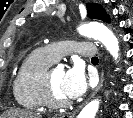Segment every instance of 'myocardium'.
I'll return each mask as SVG.
<instances>
[{"mask_svg": "<svg viewBox=\"0 0 133 118\" xmlns=\"http://www.w3.org/2000/svg\"><path fill=\"white\" fill-rule=\"evenodd\" d=\"M52 69H47L41 80V99L44 106L53 109L61 110L70 106L69 100H58L53 96L52 87H51V73Z\"/></svg>", "mask_w": 133, "mask_h": 118, "instance_id": "1", "label": "myocardium"}]
</instances>
